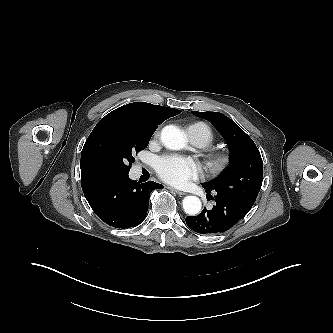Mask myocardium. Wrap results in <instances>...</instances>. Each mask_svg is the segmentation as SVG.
I'll return each mask as SVG.
<instances>
[{"label": "myocardium", "mask_w": 333, "mask_h": 333, "mask_svg": "<svg viewBox=\"0 0 333 333\" xmlns=\"http://www.w3.org/2000/svg\"><path fill=\"white\" fill-rule=\"evenodd\" d=\"M232 163V156L228 152L210 153L205 160L206 168L215 175L225 172Z\"/></svg>", "instance_id": "myocardium-1"}]
</instances>
